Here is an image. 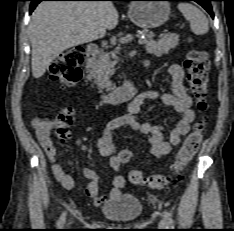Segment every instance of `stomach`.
Listing matches in <instances>:
<instances>
[{
    "label": "stomach",
    "instance_id": "1",
    "mask_svg": "<svg viewBox=\"0 0 234 231\" xmlns=\"http://www.w3.org/2000/svg\"><path fill=\"white\" fill-rule=\"evenodd\" d=\"M169 15V2L161 0L132 2L128 10L131 22L144 30L160 27L169 19Z\"/></svg>",
    "mask_w": 234,
    "mask_h": 231
}]
</instances>
